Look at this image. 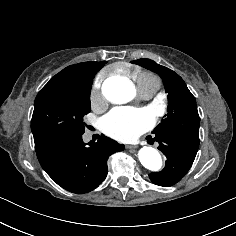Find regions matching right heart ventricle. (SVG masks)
Here are the masks:
<instances>
[{"label": "right heart ventricle", "mask_w": 236, "mask_h": 236, "mask_svg": "<svg viewBox=\"0 0 236 236\" xmlns=\"http://www.w3.org/2000/svg\"><path fill=\"white\" fill-rule=\"evenodd\" d=\"M131 85L134 84L139 91H157L160 87L158 78L150 72L136 71L128 76Z\"/></svg>", "instance_id": "e07e8e85"}]
</instances>
